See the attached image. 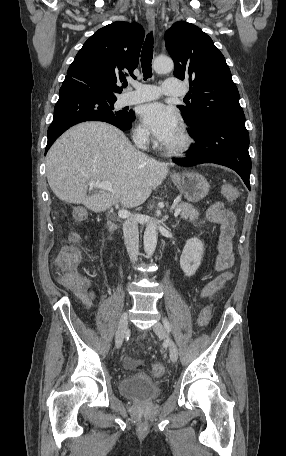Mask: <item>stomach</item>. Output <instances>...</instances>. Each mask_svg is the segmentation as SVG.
I'll list each match as a JSON object with an SVG mask.
<instances>
[{
  "instance_id": "0dacf381",
  "label": "stomach",
  "mask_w": 286,
  "mask_h": 456,
  "mask_svg": "<svg viewBox=\"0 0 286 456\" xmlns=\"http://www.w3.org/2000/svg\"><path fill=\"white\" fill-rule=\"evenodd\" d=\"M171 177L188 202L196 203L202 200L209 192L210 185L208 181L199 173L186 171L181 174H173Z\"/></svg>"
}]
</instances>
